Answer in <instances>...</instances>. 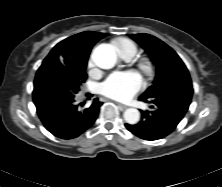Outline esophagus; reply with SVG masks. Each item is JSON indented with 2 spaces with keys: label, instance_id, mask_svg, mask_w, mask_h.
<instances>
[{
  "label": "esophagus",
  "instance_id": "1",
  "mask_svg": "<svg viewBox=\"0 0 222 187\" xmlns=\"http://www.w3.org/2000/svg\"><path fill=\"white\" fill-rule=\"evenodd\" d=\"M117 104H118V106H120V107L123 108V109H126V108H127L126 105H123V104H120V103H117Z\"/></svg>",
  "mask_w": 222,
  "mask_h": 187
}]
</instances>
